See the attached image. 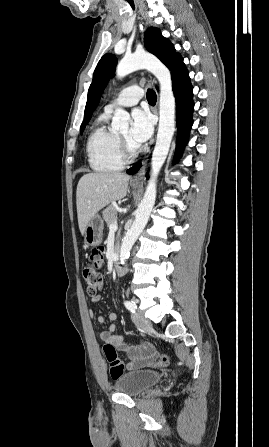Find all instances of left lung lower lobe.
<instances>
[{
  "label": "left lung lower lobe",
  "mask_w": 269,
  "mask_h": 447,
  "mask_svg": "<svg viewBox=\"0 0 269 447\" xmlns=\"http://www.w3.org/2000/svg\"><path fill=\"white\" fill-rule=\"evenodd\" d=\"M173 92L176 98V116H177V146L175 153V162L181 155L187 141L190 128L192 126V113L194 110L193 89L190 83L188 71L183 63V58L179 56L172 68ZM141 165H136L127 170L128 174H135Z\"/></svg>",
  "instance_id": "1"
}]
</instances>
